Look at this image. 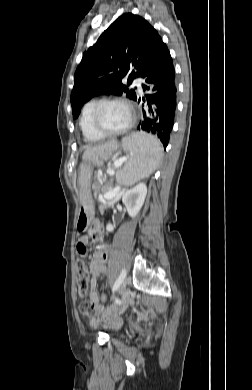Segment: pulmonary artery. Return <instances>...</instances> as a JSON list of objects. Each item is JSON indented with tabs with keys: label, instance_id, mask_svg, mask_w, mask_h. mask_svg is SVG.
<instances>
[{
	"label": "pulmonary artery",
	"instance_id": "e3ab8cb5",
	"mask_svg": "<svg viewBox=\"0 0 252 390\" xmlns=\"http://www.w3.org/2000/svg\"><path fill=\"white\" fill-rule=\"evenodd\" d=\"M134 86H137L139 92H142V88H141V80H135L134 81Z\"/></svg>",
	"mask_w": 252,
	"mask_h": 390
}]
</instances>
